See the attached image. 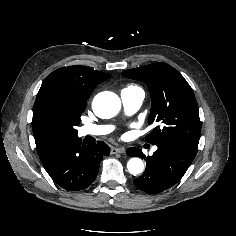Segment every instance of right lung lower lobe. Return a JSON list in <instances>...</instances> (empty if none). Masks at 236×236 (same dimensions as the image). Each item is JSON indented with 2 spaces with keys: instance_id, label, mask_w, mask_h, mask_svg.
I'll use <instances>...</instances> for the list:
<instances>
[{
  "instance_id": "98d812e1",
  "label": "right lung lower lobe",
  "mask_w": 236,
  "mask_h": 236,
  "mask_svg": "<svg viewBox=\"0 0 236 236\" xmlns=\"http://www.w3.org/2000/svg\"><path fill=\"white\" fill-rule=\"evenodd\" d=\"M40 160L53 181L68 191L83 190L95 180L110 148L102 141L86 145L77 135L35 140Z\"/></svg>"
}]
</instances>
